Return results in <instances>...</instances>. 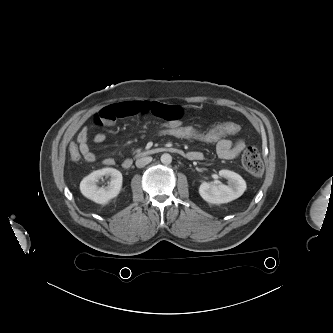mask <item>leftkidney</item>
I'll list each match as a JSON object with an SVG mask.
<instances>
[{
  "mask_svg": "<svg viewBox=\"0 0 333 333\" xmlns=\"http://www.w3.org/2000/svg\"><path fill=\"white\" fill-rule=\"evenodd\" d=\"M219 176L227 179L228 185H214L206 182L200 185L199 194L206 202L228 203L242 196L246 190V182L239 174L229 170H220Z\"/></svg>",
  "mask_w": 333,
  "mask_h": 333,
  "instance_id": "1",
  "label": "left kidney"
}]
</instances>
